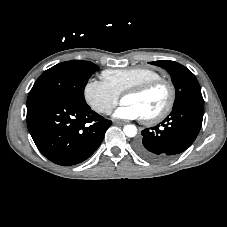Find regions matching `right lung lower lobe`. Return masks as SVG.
I'll return each instance as SVG.
<instances>
[{
	"instance_id": "98d812e1",
	"label": "right lung lower lobe",
	"mask_w": 227,
	"mask_h": 227,
	"mask_svg": "<svg viewBox=\"0 0 227 227\" xmlns=\"http://www.w3.org/2000/svg\"><path fill=\"white\" fill-rule=\"evenodd\" d=\"M26 119L39 151L62 166L75 165L89 158L112 123L86 104L53 99L27 104Z\"/></svg>"
}]
</instances>
